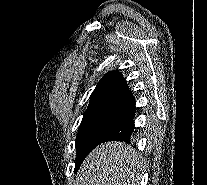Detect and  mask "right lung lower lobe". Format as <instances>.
Wrapping results in <instances>:
<instances>
[{
  "label": "right lung lower lobe",
  "instance_id": "obj_1",
  "mask_svg": "<svg viewBox=\"0 0 207 185\" xmlns=\"http://www.w3.org/2000/svg\"><path fill=\"white\" fill-rule=\"evenodd\" d=\"M134 113L135 105L126 111L123 116L101 137L98 144L107 141H124L130 143V137L134 128Z\"/></svg>",
  "mask_w": 207,
  "mask_h": 185
}]
</instances>
